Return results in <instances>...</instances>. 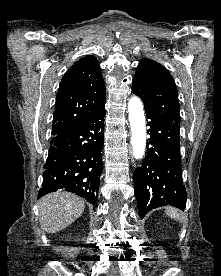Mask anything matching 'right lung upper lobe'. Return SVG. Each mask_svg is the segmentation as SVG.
<instances>
[{
  "label": "right lung upper lobe",
  "mask_w": 221,
  "mask_h": 276,
  "mask_svg": "<svg viewBox=\"0 0 221 276\" xmlns=\"http://www.w3.org/2000/svg\"><path fill=\"white\" fill-rule=\"evenodd\" d=\"M105 85L98 61L85 56L66 72L56 96L52 135L82 124L105 105Z\"/></svg>",
  "instance_id": "obj_1"
}]
</instances>
